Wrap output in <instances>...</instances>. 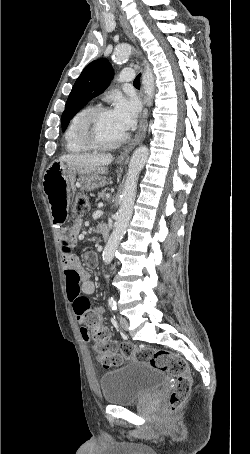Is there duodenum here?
I'll use <instances>...</instances> for the list:
<instances>
[{
	"mask_svg": "<svg viewBox=\"0 0 250 454\" xmlns=\"http://www.w3.org/2000/svg\"><path fill=\"white\" fill-rule=\"evenodd\" d=\"M100 233L105 240L109 238V229H107L105 226L100 227Z\"/></svg>",
	"mask_w": 250,
	"mask_h": 454,
	"instance_id": "1",
	"label": "duodenum"
}]
</instances>
